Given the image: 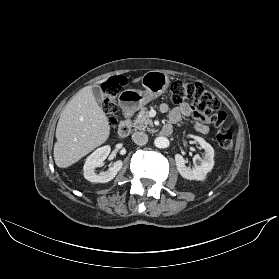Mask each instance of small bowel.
<instances>
[{"label":"small bowel","mask_w":279,"mask_h":279,"mask_svg":"<svg viewBox=\"0 0 279 279\" xmlns=\"http://www.w3.org/2000/svg\"><path fill=\"white\" fill-rule=\"evenodd\" d=\"M160 111L162 113L169 114V125L176 124L180 122L184 117H188L193 114L192 108L186 103H183L176 107H171L167 103H162L160 105ZM195 129L202 134H207L209 132V127L204 122L196 123Z\"/></svg>","instance_id":"1"}]
</instances>
